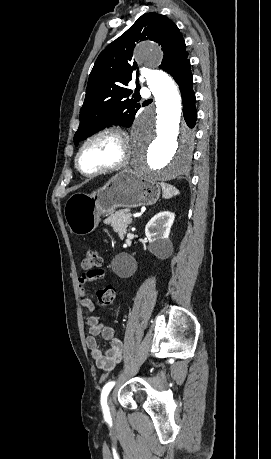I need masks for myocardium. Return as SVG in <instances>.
Here are the masks:
<instances>
[{"instance_id": "obj_1", "label": "myocardium", "mask_w": 271, "mask_h": 459, "mask_svg": "<svg viewBox=\"0 0 271 459\" xmlns=\"http://www.w3.org/2000/svg\"><path fill=\"white\" fill-rule=\"evenodd\" d=\"M104 134H112L114 135L120 142L121 144V154L119 156V158L112 162V163H109L107 165H104L94 171H91V172H86L84 170L81 169L80 167V164H79V160H80V155L82 153V151L84 150L85 146L87 145V143L92 140L93 138L95 137H98L100 135H104ZM130 152H131V147H130V142H129V139L125 133V131L120 128L119 126H116V125H107V126H104V127H101L97 130H95L94 132L90 133L88 136H86L83 141L81 142V144L79 145L77 151H76V154H75V157H74V165H75V168L77 169V171L85 176V177H94V176H97L99 174H102V173H105V172H109V171H113V170H117V169H120L122 168L123 166H125L128 161H129V157H130Z\"/></svg>"}]
</instances>
